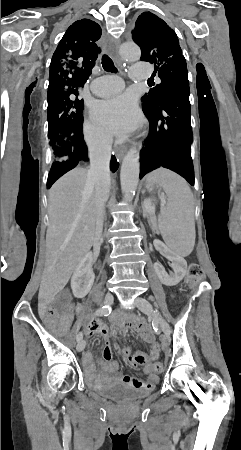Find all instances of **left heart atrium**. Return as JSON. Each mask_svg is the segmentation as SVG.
I'll return each instance as SVG.
<instances>
[{
  "mask_svg": "<svg viewBox=\"0 0 241 450\" xmlns=\"http://www.w3.org/2000/svg\"><path fill=\"white\" fill-rule=\"evenodd\" d=\"M91 117L98 127L119 137L129 135L142 123L135 100L129 94L97 102L91 111Z\"/></svg>",
  "mask_w": 241,
  "mask_h": 450,
  "instance_id": "1",
  "label": "left heart atrium"
}]
</instances>
